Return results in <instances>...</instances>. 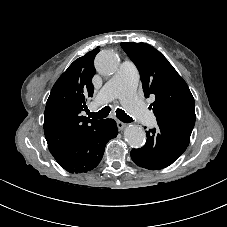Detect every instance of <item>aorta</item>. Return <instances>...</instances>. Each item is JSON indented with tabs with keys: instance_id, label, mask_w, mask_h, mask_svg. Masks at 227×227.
Wrapping results in <instances>:
<instances>
[{
	"instance_id": "aorta-1",
	"label": "aorta",
	"mask_w": 227,
	"mask_h": 227,
	"mask_svg": "<svg viewBox=\"0 0 227 227\" xmlns=\"http://www.w3.org/2000/svg\"><path fill=\"white\" fill-rule=\"evenodd\" d=\"M118 55L110 50L100 51L95 58V66L99 73L103 75H112L119 68ZM124 137L127 143L133 148H140L144 145L146 133L142 127L129 125L124 130Z\"/></svg>"
}]
</instances>
